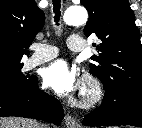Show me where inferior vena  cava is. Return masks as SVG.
<instances>
[{"label":"inferior vena cava","instance_id":"1","mask_svg":"<svg viewBox=\"0 0 142 128\" xmlns=\"http://www.w3.org/2000/svg\"><path fill=\"white\" fill-rule=\"evenodd\" d=\"M39 128H44V126H39Z\"/></svg>","mask_w":142,"mask_h":128}]
</instances>
